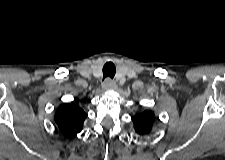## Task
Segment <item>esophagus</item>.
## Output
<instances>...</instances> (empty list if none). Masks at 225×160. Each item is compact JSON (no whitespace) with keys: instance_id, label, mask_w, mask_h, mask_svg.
Instances as JSON below:
<instances>
[{"instance_id":"obj_1","label":"esophagus","mask_w":225,"mask_h":160,"mask_svg":"<svg viewBox=\"0 0 225 160\" xmlns=\"http://www.w3.org/2000/svg\"><path fill=\"white\" fill-rule=\"evenodd\" d=\"M117 84L114 80H111L110 78H107L104 83H103V89L104 90H109V89H116Z\"/></svg>"}]
</instances>
